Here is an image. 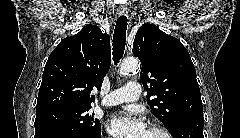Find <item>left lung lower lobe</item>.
<instances>
[{"mask_svg": "<svg viewBox=\"0 0 240 138\" xmlns=\"http://www.w3.org/2000/svg\"><path fill=\"white\" fill-rule=\"evenodd\" d=\"M203 115H192L178 121L169 131L173 138H204Z\"/></svg>", "mask_w": 240, "mask_h": 138, "instance_id": "obj_1", "label": "left lung lower lobe"}]
</instances>
